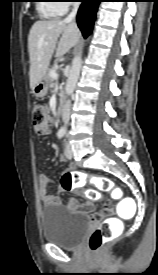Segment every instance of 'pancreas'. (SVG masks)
<instances>
[{
    "mask_svg": "<svg viewBox=\"0 0 158 275\" xmlns=\"http://www.w3.org/2000/svg\"><path fill=\"white\" fill-rule=\"evenodd\" d=\"M54 69H55V67H52V68H49L47 71V78H48L49 83H51L53 81V78L51 77L50 72Z\"/></svg>",
    "mask_w": 158,
    "mask_h": 275,
    "instance_id": "obj_1",
    "label": "pancreas"
}]
</instances>
